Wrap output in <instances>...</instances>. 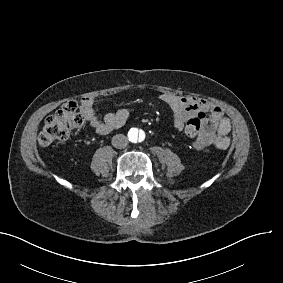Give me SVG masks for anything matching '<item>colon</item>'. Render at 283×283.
I'll use <instances>...</instances> for the list:
<instances>
[{
  "instance_id": "1",
  "label": "colon",
  "mask_w": 283,
  "mask_h": 283,
  "mask_svg": "<svg viewBox=\"0 0 283 283\" xmlns=\"http://www.w3.org/2000/svg\"><path fill=\"white\" fill-rule=\"evenodd\" d=\"M76 105V100L71 99L67 106L61 108L59 111L48 117L39 135L40 144L48 145L55 141L66 140L70 137L74 130H78L85 126L86 120ZM199 129L200 121L196 118L188 117L185 134L187 136H191L193 140H198Z\"/></svg>"
}]
</instances>
